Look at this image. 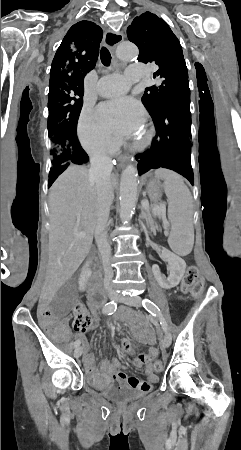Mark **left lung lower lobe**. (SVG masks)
<instances>
[{"label":"left lung lower lobe","instance_id":"left-lung-lower-lobe-1","mask_svg":"<svg viewBox=\"0 0 241 450\" xmlns=\"http://www.w3.org/2000/svg\"><path fill=\"white\" fill-rule=\"evenodd\" d=\"M157 135L151 148L136 156L140 174L150 169L168 168L194 183L191 167L190 98L180 100L153 118Z\"/></svg>","mask_w":241,"mask_h":450}]
</instances>
